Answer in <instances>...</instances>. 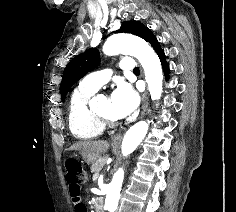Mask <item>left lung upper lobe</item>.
Returning a JSON list of instances; mask_svg holds the SVG:
<instances>
[{
	"mask_svg": "<svg viewBox=\"0 0 236 212\" xmlns=\"http://www.w3.org/2000/svg\"><path fill=\"white\" fill-rule=\"evenodd\" d=\"M151 32L147 27L138 21L123 22L120 29L116 33H131L137 35L144 40ZM100 62L99 52L96 48H91L74 57L66 66L61 82V98L64 101L70 88L89 71L93 70Z\"/></svg>",
	"mask_w": 236,
	"mask_h": 212,
	"instance_id": "5c2ea615",
	"label": "left lung upper lobe"
}]
</instances>
